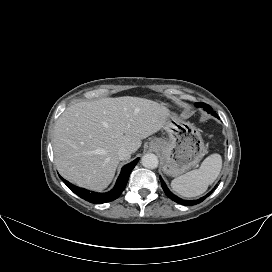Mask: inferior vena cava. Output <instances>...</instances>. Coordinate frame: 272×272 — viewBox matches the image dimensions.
Segmentation results:
<instances>
[{
	"label": "inferior vena cava",
	"instance_id": "1",
	"mask_svg": "<svg viewBox=\"0 0 272 272\" xmlns=\"http://www.w3.org/2000/svg\"><path fill=\"white\" fill-rule=\"evenodd\" d=\"M118 158L120 159V160H127V159H129L130 158V156H131V153H130V151L127 149V148H125V147H121L119 150H118Z\"/></svg>",
	"mask_w": 272,
	"mask_h": 272
}]
</instances>
